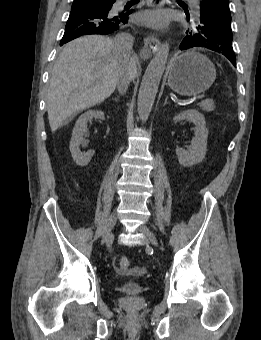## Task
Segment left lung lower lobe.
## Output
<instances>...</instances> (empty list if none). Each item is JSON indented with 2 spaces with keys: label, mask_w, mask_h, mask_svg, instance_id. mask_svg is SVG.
Segmentation results:
<instances>
[{
  "label": "left lung lower lobe",
  "mask_w": 261,
  "mask_h": 340,
  "mask_svg": "<svg viewBox=\"0 0 261 340\" xmlns=\"http://www.w3.org/2000/svg\"><path fill=\"white\" fill-rule=\"evenodd\" d=\"M217 13H223L226 18L231 19L229 1L201 0L199 21L206 22L213 20L214 17H217ZM196 46L200 47L197 38L194 36H186L180 44V49L184 50ZM222 54L225 55L234 66H236V57L233 49L224 50L222 51Z\"/></svg>",
  "instance_id": "left-lung-lower-lobe-1"
}]
</instances>
